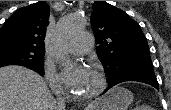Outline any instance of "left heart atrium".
I'll use <instances>...</instances> for the list:
<instances>
[{"instance_id":"1","label":"left heart atrium","mask_w":171,"mask_h":110,"mask_svg":"<svg viewBox=\"0 0 171 110\" xmlns=\"http://www.w3.org/2000/svg\"><path fill=\"white\" fill-rule=\"evenodd\" d=\"M87 74V68L81 65L68 64L63 70V77L66 84L74 91L82 84Z\"/></svg>"}]
</instances>
